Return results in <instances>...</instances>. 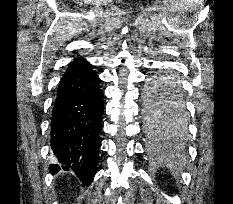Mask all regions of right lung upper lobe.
Listing matches in <instances>:
<instances>
[{
	"label": "right lung upper lobe",
	"instance_id": "obj_1",
	"mask_svg": "<svg viewBox=\"0 0 233 204\" xmlns=\"http://www.w3.org/2000/svg\"><path fill=\"white\" fill-rule=\"evenodd\" d=\"M78 61H79V62H83L84 60H83V59H79V58H78V59H75V61H74V62H78Z\"/></svg>",
	"mask_w": 233,
	"mask_h": 204
}]
</instances>
